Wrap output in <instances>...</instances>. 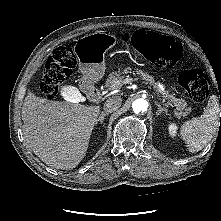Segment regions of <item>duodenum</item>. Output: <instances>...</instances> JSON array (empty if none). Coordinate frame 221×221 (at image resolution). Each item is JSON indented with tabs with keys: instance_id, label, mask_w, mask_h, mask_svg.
I'll return each instance as SVG.
<instances>
[{
	"instance_id": "1",
	"label": "duodenum",
	"mask_w": 221,
	"mask_h": 221,
	"mask_svg": "<svg viewBox=\"0 0 221 221\" xmlns=\"http://www.w3.org/2000/svg\"><path fill=\"white\" fill-rule=\"evenodd\" d=\"M85 93L87 94V96L91 99V100H99L101 98V90L94 87V86H91V87H88L85 89Z\"/></svg>"
}]
</instances>
